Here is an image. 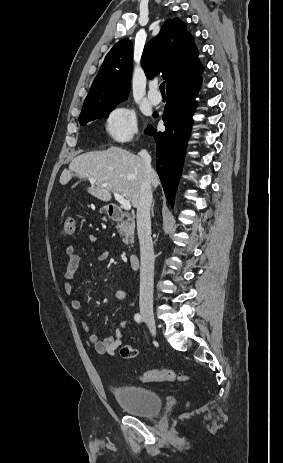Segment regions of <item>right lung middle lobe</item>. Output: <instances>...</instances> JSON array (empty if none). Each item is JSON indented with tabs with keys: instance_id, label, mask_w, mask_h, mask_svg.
I'll list each match as a JSON object with an SVG mask.
<instances>
[{
	"instance_id": "dd1d6c3e",
	"label": "right lung middle lobe",
	"mask_w": 283,
	"mask_h": 463,
	"mask_svg": "<svg viewBox=\"0 0 283 463\" xmlns=\"http://www.w3.org/2000/svg\"><path fill=\"white\" fill-rule=\"evenodd\" d=\"M124 99L125 98L108 99L89 105H83L79 116V122L82 125H86L89 121L107 118V114Z\"/></svg>"
}]
</instances>
